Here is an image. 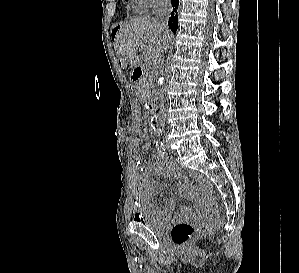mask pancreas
<instances>
[{
  "label": "pancreas",
  "mask_w": 299,
  "mask_h": 273,
  "mask_svg": "<svg viewBox=\"0 0 299 273\" xmlns=\"http://www.w3.org/2000/svg\"><path fill=\"white\" fill-rule=\"evenodd\" d=\"M136 90L138 94L146 95V93L148 92L147 81L145 79L140 80L137 84Z\"/></svg>",
  "instance_id": "pancreas-1"
}]
</instances>
